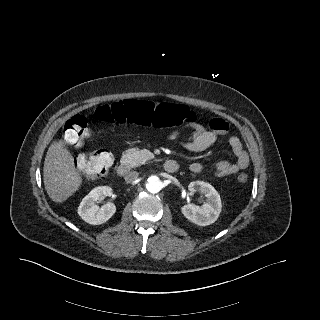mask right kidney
I'll return each instance as SVG.
<instances>
[{
	"instance_id": "ca27d5eb",
	"label": "right kidney",
	"mask_w": 320,
	"mask_h": 320,
	"mask_svg": "<svg viewBox=\"0 0 320 320\" xmlns=\"http://www.w3.org/2000/svg\"><path fill=\"white\" fill-rule=\"evenodd\" d=\"M111 194L112 189L108 186H99L91 190L90 193L82 199L78 207L79 216L91 225H100L107 222L116 212V206L108 202L99 207L96 205V202L101 197Z\"/></svg>"
}]
</instances>
